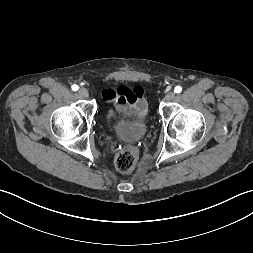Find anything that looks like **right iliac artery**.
Listing matches in <instances>:
<instances>
[{
    "mask_svg": "<svg viewBox=\"0 0 253 253\" xmlns=\"http://www.w3.org/2000/svg\"><path fill=\"white\" fill-rule=\"evenodd\" d=\"M78 88H79V87H78L76 84L72 85V90H73V91H77Z\"/></svg>",
    "mask_w": 253,
    "mask_h": 253,
    "instance_id": "1",
    "label": "right iliac artery"
}]
</instances>
